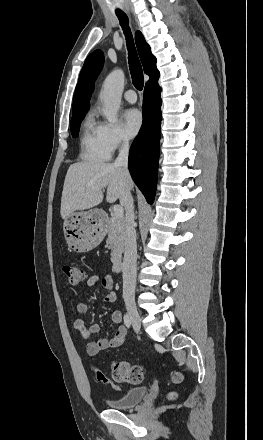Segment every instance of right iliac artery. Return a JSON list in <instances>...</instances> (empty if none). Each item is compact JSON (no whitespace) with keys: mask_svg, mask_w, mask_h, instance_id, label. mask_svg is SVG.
Segmentation results:
<instances>
[{"mask_svg":"<svg viewBox=\"0 0 263 440\" xmlns=\"http://www.w3.org/2000/svg\"><path fill=\"white\" fill-rule=\"evenodd\" d=\"M123 319H124L125 326L127 328H130V326H131V319H130L129 315L125 314Z\"/></svg>","mask_w":263,"mask_h":440,"instance_id":"1","label":"right iliac artery"}]
</instances>
